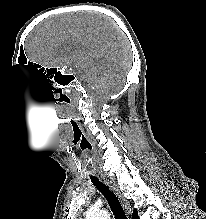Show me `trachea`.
<instances>
[{
    "mask_svg": "<svg viewBox=\"0 0 206 219\" xmlns=\"http://www.w3.org/2000/svg\"><path fill=\"white\" fill-rule=\"evenodd\" d=\"M90 179L93 185L104 195V197L108 201V204L115 216V219H128L116 194L97 177L90 176Z\"/></svg>",
    "mask_w": 206,
    "mask_h": 219,
    "instance_id": "obj_1",
    "label": "trachea"
}]
</instances>
